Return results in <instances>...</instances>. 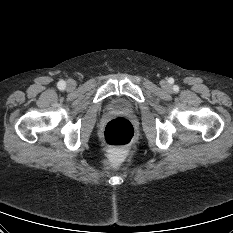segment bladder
<instances>
[{
    "label": "bladder",
    "instance_id": "1",
    "mask_svg": "<svg viewBox=\"0 0 233 233\" xmlns=\"http://www.w3.org/2000/svg\"><path fill=\"white\" fill-rule=\"evenodd\" d=\"M111 107L114 109H127L128 104L126 101H124L122 99H116V100L111 102Z\"/></svg>",
    "mask_w": 233,
    "mask_h": 233
}]
</instances>
